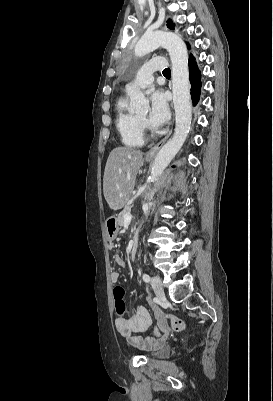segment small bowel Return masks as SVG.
<instances>
[{
    "instance_id": "small-bowel-1",
    "label": "small bowel",
    "mask_w": 273,
    "mask_h": 401,
    "mask_svg": "<svg viewBox=\"0 0 273 401\" xmlns=\"http://www.w3.org/2000/svg\"><path fill=\"white\" fill-rule=\"evenodd\" d=\"M113 264L115 267L120 268L125 265V261L121 255H116L113 258ZM119 273L114 270L111 273V281L113 284L119 282ZM154 311L153 316L158 318V327L154 328L152 332L148 333L147 338L143 339L142 336H132L137 333H145L151 328L152 318L150 312L147 308L142 305H138L135 310L129 314L127 317L116 318L114 321L115 328L117 332L123 336L127 345H141L143 348L148 350H157L161 348L166 340L167 336L172 332L170 327H163L167 324V319L169 316L173 317V312L168 311H158L159 307L154 305L152 307ZM173 328L176 334H185L189 324L185 318H173L172 319ZM146 337V336H145Z\"/></svg>"
}]
</instances>
